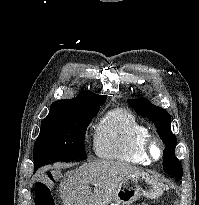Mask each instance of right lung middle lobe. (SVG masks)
Instances as JSON below:
<instances>
[{
	"label": "right lung middle lobe",
	"instance_id": "obj_1",
	"mask_svg": "<svg viewBox=\"0 0 199 205\" xmlns=\"http://www.w3.org/2000/svg\"><path fill=\"white\" fill-rule=\"evenodd\" d=\"M104 102H78L50 109L34 144V171L57 161L86 159V129Z\"/></svg>",
	"mask_w": 199,
	"mask_h": 205
}]
</instances>
